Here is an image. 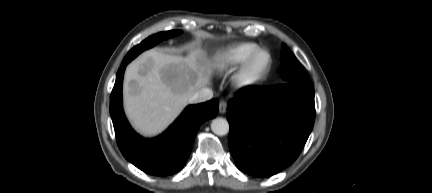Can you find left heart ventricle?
<instances>
[{
    "mask_svg": "<svg viewBox=\"0 0 432 193\" xmlns=\"http://www.w3.org/2000/svg\"><path fill=\"white\" fill-rule=\"evenodd\" d=\"M267 62V56L266 54H261L255 61L254 66H253V72L254 73H258L260 72L264 66L266 65Z\"/></svg>",
    "mask_w": 432,
    "mask_h": 193,
    "instance_id": "1",
    "label": "left heart ventricle"
}]
</instances>
